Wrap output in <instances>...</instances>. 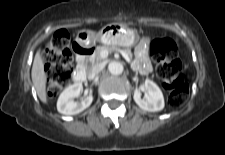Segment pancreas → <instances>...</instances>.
Wrapping results in <instances>:
<instances>
[{
	"label": "pancreas",
	"instance_id": "obj_1",
	"mask_svg": "<svg viewBox=\"0 0 225 155\" xmlns=\"http://www.w3.org/2000/svg\"><path fill=\"white\" fill-rule=\"evenodd\" d=\"M110 50H122L129 56V58L133 57L131 49L128 48V47L120 48L118 45H103V46H98L95 49L94 53L86 60L84 65H86L87 62H90L91 64L101 62L104 59V58L101 57V52L110 51Z\"/></svg>",
	"mask_w": 225,
	"mask_h": 155
}]
</instances>
